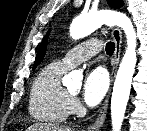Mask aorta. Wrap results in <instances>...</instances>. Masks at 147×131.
<instances>
[{
    "instance_id": "aorta-1",
    "label": "aorta",
    "mask_w": 147,
    "mask_h": 131,
    "mask_svg": "<svg viewBox=\"0 0 147 131\" xmlns=\"http://www.w3.org/2000/svg\"><path fill=\"white\" fill-rule=\"evenodd\" d=\"M104 24L121 27L127 38L126 52L117 72L111 98L112 130L120 131L137 62V39L131 20L123 13L109 10L79 15L72 21L70 35L73 39H81ZM82 79L83 73L79 70H74L63 78V84L65 86H70L72 82L80 84Z\"/></svg>"
}]
</instances>
